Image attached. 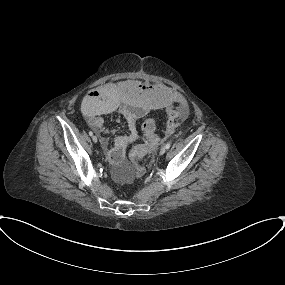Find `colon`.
<instances>
[{"label":"colon","instance_id":"1","mask_svg":"<svg viewBox=\"0 0 285 285\" xmlns=\"http://www.w3.org/2000/svg\"><path fill=\"white\" fill-rule=\"evenodd\" d=\"M179 125V119L175 115H171L170 118L167 121V128L173 129ZM142 134L143 137L148 141L147 147H135L132 158L135 163H141V161L144 159L145 155L148 153L149 149L151 147H154L160 137L157 132V126L156 122L152 117H146L142 121Z\"/></svg>","mask_w":285,"mask_h":285}]
</instances>
